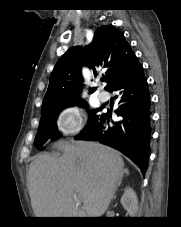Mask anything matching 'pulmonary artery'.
<instances>
[{"label": "pulmonary artery", "mask_w": 181, "mask_h": 227, "mask_svg": "<svg viewBox=\"0 0 181 227\" xmlns=\"http://www.w3.org/2000/svg\"><path fill=\"white\" fill-rule=\"evenodd\" d=\"M98 97H99L100 101H102V102H107V101H109V99H110V95H109V93L106 92V91H101V92L98 94Z\"/></svg>", "instance_id": "1"}]
</instances>
